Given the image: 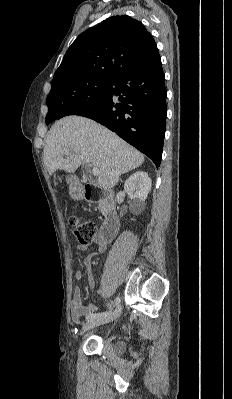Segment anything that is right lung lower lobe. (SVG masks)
Instances as JSON below:
<instances>
[{
	"instance_id": "obj_1",
	"label": "right lung lower lobe",
	"mask_w": 232,
	"mask_h": 399,
	"mask_svg": "<svg viewBox=\"0 0 232 399\" xmlns=\"http://www.w3.org/2000/svg\"><path fill=\"white\" fill-rule=\"evenodd\" d=\"M164 80L157 50L112 76L101 99L72 108L58 119L68 115L93 119L147 155L159 167L167 117Z\"/></svg>"
}]
</instances>
